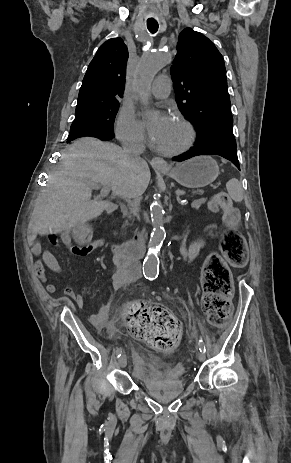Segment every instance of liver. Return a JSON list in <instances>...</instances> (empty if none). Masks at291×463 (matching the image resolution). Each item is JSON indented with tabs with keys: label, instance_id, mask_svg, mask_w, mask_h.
<instances>
[{
	"label": "liver",
	"instance_id": "1",
	"mask_svg": "<svg viewBox=\"0 0 291 463\" xmlns=\"http://www.w3.org/2000/svg\"><path fill=\"white\" fill-rule=\"evenodd\" d=\"M150 177L145 160L132 161L113 143L91 137L74 141L36 200L28 226L31 239L37 234L69 232L76 224L100 216L109 201L91 200L94 184L130 199L145 192Z\"/></svg>",
	"mask_w": 291,
	"mask_h": 463
}]
</instances>
